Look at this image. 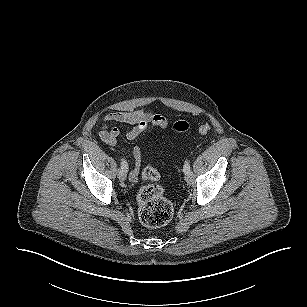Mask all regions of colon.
I'll return each mask as SVG.
<instances>
[{"label":"colon","instance_id":"colon-1","mask_svg":"<svg viewBox=\"0 0 307 307\" xmlns=\"http://www.w3.org/2000/svg\"><path fill=\"white\" fill-rule=\"evenodd\" d=\"M190 125L186 121H178L173 125V130L179 133L187 132ZM211 126L204 123L199 126L198 132L206 135ZM142 177L148 181L137 194L138 216L140 221L151 228H157L167 224L173 215V205L164 196L163 188L158 184L160 174L153 166H146L142 171Z\"/></svg>","mask_w":307,"mask_h":307}]
</instances>
